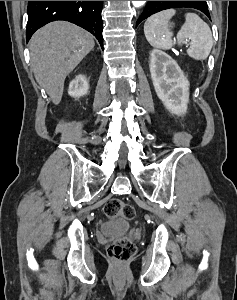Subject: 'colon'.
Returning <instances> with one entry per match:
<instances>
[{"label":"colon","mask_w":237,"mask_h":300,"mask_svg":"<svg viewBox=\"0 0 237 300\" xmlns=\"http://www.w3.org/2000/svg\"><path fill=\"white\" fill-rule=\"evenodd\" d=\"M103 212L107 217L122 216L131 220L135 216L133 206L118 198H112L106 202ZM108 255L118 263L127 262L135 252V245L130 237L115 240L107 245Z\"/></svg>","instance_id":"obj_1"}]
</instances>
